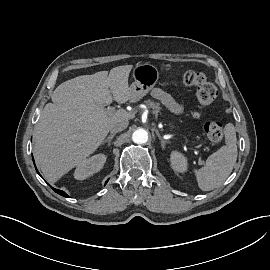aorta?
<instances>
[{
    "label": "aorta",
    "instance_id": "aorta-1",
    "mask_svg": "<svg viewBox=\"0 0 270 270\" xmlns=\"http://www.w3.org/2000/svg\"><path fill=\"white\" fill-rule=\"evenodd\" d=\"M132 140L136 144L146 143L148 141V132L143 128H139L133 132Z\"/></svg>",
    "mask_w": 270,
    "mask_h": 270
}]
</instances>
